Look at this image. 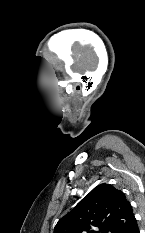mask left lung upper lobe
I'll use <instances>...</instances> for the list:
<instances>
[{"mask_svg":"<svg viewBox=\"0 0 145 233\" xmlns=\"http://www.w3.org/2000/svg\"><path fill=\"white\" fill-rule=\"evenodd\" d=\"M135 223L125 194L100 184L58 221L54 233H129Z\"/></svg>","mask_w":145,"mask_h":233,"instance_id":"5c2ea615","label":"left lung upper lobe"}]
</instances>
